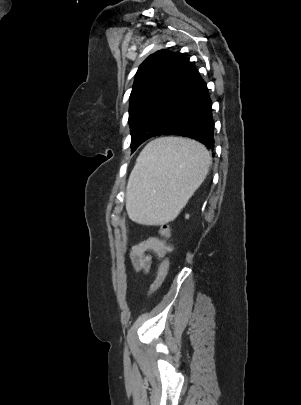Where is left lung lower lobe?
Instances as JSON below:
<instances>
[{"mask_svg":"<svg viewBox=\"0 0 301 405\" xmlns=\"http://www.w3.org/2000/svg\"><path fill=\"white\" fill-rule=\"evenodd\" d=\"M213 130L212 103L207 85L198 70L193 67L181 96L151 137H189L204 144L208 149H214ZM149 138L146 136L138 139L131 146L132 152Z\"/></svg>","mask_w":301,"mask_h":405,"instance_id":"left-lung-lower-lobe-1","label":"left lung lower lobe"}]
</instances>
